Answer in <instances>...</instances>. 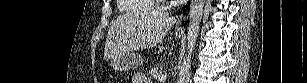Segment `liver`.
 <instances>
[{
  "label": "liver",
  "instance_id": "obj_1",
  "mask_svg": "<svg viewBox=\"0 0 307 83\" xmlns=\"http://www.w3.org/2000/svg\"><path fill=\"white\" fill-rule=\"evenodd\" d=\"M175 18L158 12L127 14L111 25L104 50V58L125 55L128 51L152 48L166 36Z\"/></svg>",
  "mask_w": 307,
  "mask_h": 83
}]
</instances>
